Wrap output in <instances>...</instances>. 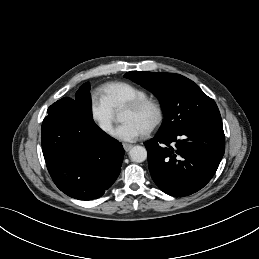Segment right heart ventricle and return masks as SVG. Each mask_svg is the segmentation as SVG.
<instances>
[{
    "mask_svg": "<svg viewBox=\"0 0 259 259\" xmlns=\"http://www.w3.org/2000/svg\"><path fill=\"white\" fill-rule=\"evenodd\" d=\"M101 91L105 100L115 111H119L131 101L148 97L145 90L124 81L106 83L101 87Z\"/></svg>",
    "mask_w": 259,
    "mask_h": 259,
    "instance_id": "obj_1",
    "label": "right heart ventricle"
}]
</instances>
